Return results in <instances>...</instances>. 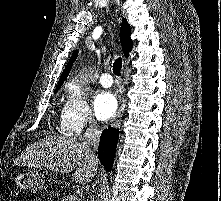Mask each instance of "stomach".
Instances as JSON below:
<instances>
[{
    "label": "stomach",
    "instance_id": "obj_1",
    "mask_svg": "<svg viewBox=\"0 0 221 201\" xmlns=\"http://www.w3.org/2000/svg\"><path fill=\"white\" fill-rule=\"evenodd\" d=\"M14 182L17 189L34 192L41 190L45 183L43 175L34 170L18 173L14 178Z\"/></svg>",
    "mask_w": 221,
    "mask_h": 201
}]
</instances>
